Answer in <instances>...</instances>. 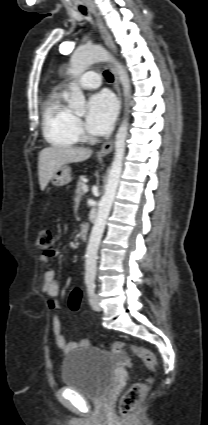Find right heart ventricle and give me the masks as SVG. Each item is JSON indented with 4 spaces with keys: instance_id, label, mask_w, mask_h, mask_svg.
I'll use <instances>...</instances> for the list:
<instances>
[{
    "instance_id": "right-heart-ventricle-1",
    "label": "right heart ventricle",
    "mask_w": 208,
    "mask_h": 425,
    "mask_svg": "<svg viewBox=\"0 0 208 425\" xmlns=\"http://www.w3.org/2000/svg\"><path fill=\"white\" fill-rule=\"evenodd\" d=\"M42 130L48 143L72 147L78 143L75 118L64 102V93L52 91L42 104Z\"/></svg>"
}]
</instances>
